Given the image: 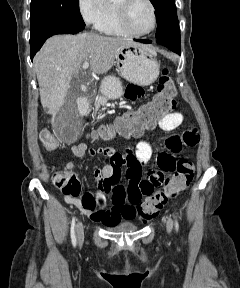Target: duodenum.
<instances>
[{
    "label": "duodenum",
    "mask_w": 240,
    "mask_h": 288,
    "mask_svg": "<svg viewBox=\"0 0 240 288\" xmlns=\"http://www.w3.org/2000/svg\"><path fill=\"white\" fill-rule=\"evenodd\" d=\"M90 102L87 98H81L78 101V109L81 114H86L89 111Z\"/></svg>",
    "instance_id": "obj_1"
}]
</instances>
